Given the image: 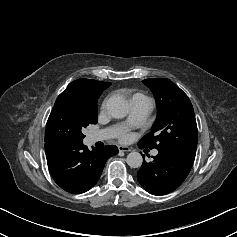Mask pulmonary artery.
I'll list each match as a JSON object with an SVG mask.
<instances>
[{
    "label": "pulmonary artery",
    "mask_w": 237,
    "mask_h": 237,
    "mask_svg": "<svg viewBox=\"0 0 237 237\" xmlns=\"http://www.w3.org/2000/svg\"><path fill=\"white\" fill-rule=\"evenodd\" d=\"M152 109V103L150 100L143 98H136L130 101V114L128 117L127 124L132 127L141 126L147 115ZM124 132V126H115L101 131L93 132L89 138L91 142L104 141L115 136L121 135ZM153 155H157L158 151L154 150Z\"/></svg>",
    "instance_id": "e3ab8cb5"
}]
</instances>
